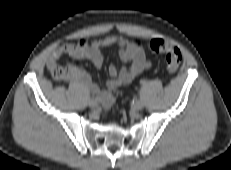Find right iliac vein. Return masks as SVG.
<instances>
[{
    "mask_svg": "<svg viewBox=\"0 0 231 170\" xmlns=\"http://www.w3.org/2000/svg\"><path fill=\"white\" fill-rule=\"evenodd\" d=\"M89 106L92 108V109H97L98 106H99V102L95 99H91L89 101Z\"/></svg>",
    "mask_w": 231,
    "mask_h": 170,
    "instance_id": "obj_1",
    "label": "right iliac vein"
}]
</instances>
